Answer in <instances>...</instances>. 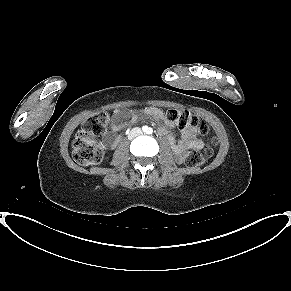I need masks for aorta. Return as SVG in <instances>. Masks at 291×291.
I'll return each instance as SVG.
<instances>
[{
  "instance_id": "762f6f07",
  "label": "aorta",
  "mask_w": 291,
  "mask_h": 291,
  "mask_svg": "<svg viewBox=\"0 0 291 291\" xmlns=\"http://www.w3.org/2000/svg\"><path fill=\"white\" fill-rule=\"evenodd\" d=\"M145 132H146L147 134H150V132H151V128L146 127Z\"/></svg>"
}]
</instances>
